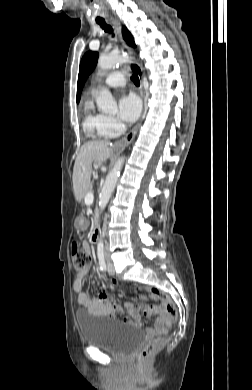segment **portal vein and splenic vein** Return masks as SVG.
I'll return each mask as SVG.
<instances>
[{"instance_id":"portal-vein-and-splenic-vein-1","label":"portal vein and splenic vein","mask_w":252,"mask_h":390,"mask_svg":"<svg viewBox=\"0 0 252 390\" xmlns=\"http://www.w3.org/2000/svg\"><path fill=\"white\" fill-rule=\"evenodd\" d=\"M94 196L92 193H88L85 197V203L91 204L93 202Z\"/></svg>"}]
</instances>
